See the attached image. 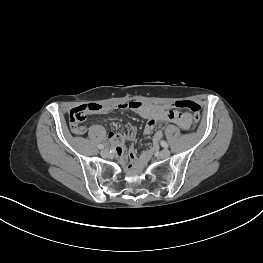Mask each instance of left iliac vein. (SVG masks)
<instances>
[{
  "label": "left iliac vein",
  "mask_w": 263,
  "mask_h": 263,
  "mask_svg": "<svg viewBox=\"0 0 263 263\" xmlns=\"http://www.w3.org/2000/svg\"><path fill=\"white\" fill-rule=\"evenodd\" d=\"M159 156L162 159L168 158L170 156V151L168 149H164L159 153Z\"/></svg>",
  "instance_id": "1"
}]
</instances>
